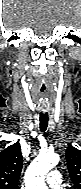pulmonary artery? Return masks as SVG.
Masks as SVG:
<instances>
[{
    "mask_svg": "<svg viewBox=\"0 0 81 189\" xmlns=\"http://www.w3.org/2000/svg\"><path fill=\"white\" fill-rule=\"evenodd\" d=\"M46 182L49 187L59 189L62 183L60 173L57 170L50 171L46 177Z\"/></svg>",
    "mask_w": 81,
    "mask_h": 189,
    "instance_id": "e3ab8cb5",
    "label": "pulmonary artery"
}]
</instances>
